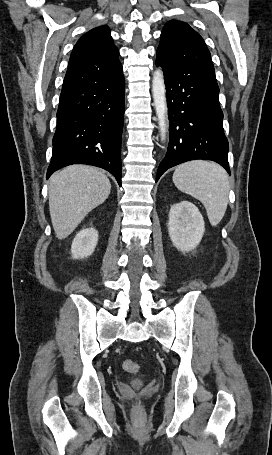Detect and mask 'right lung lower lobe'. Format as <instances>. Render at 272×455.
Instances as JSON below:
<instances>
[{
  "mask_svg": "<svg viewBox=\"0 0 272 455\" xmlns=\"http://www.w3.org/2000/svg\"><path fill=\"white\" fill-rule=\"evenodd\" d=\"M124 94L123 72L61 93L47 178L64 166L89 164L121 185Z\"/></svg>",
  "mask_w": 272,
  "mask_h": 455,
  "instance_id": "right-lung-lower-lobe-1",
  "label": "right lung lower lobe"
}]
</instances>
